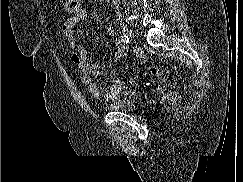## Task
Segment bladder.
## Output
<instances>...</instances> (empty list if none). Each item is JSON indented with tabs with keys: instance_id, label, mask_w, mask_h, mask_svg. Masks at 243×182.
Here are the masks:
<instances>
[{
	"instance_id": "obj_1",
	"label": "bladder",
	"mask_w": 243,
	"mask_h": 182,
	"mask_svg": "<svg viewBox=\"0 0 243 182\" xmlns=\"http://www.w3.org/2000/svg\"><path fill=\"white\" fill-rule=\"evenodd\" d=\"M146 104V95L138 91H126L122 97L102 107L111 112H133Z\"/></svg>"
}]
</instances>
